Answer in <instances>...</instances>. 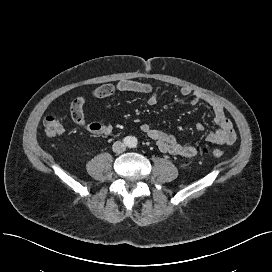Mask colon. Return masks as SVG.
I'll use <instances>...</instances> for the list:
<instances>
[{
  "instance_id": "colon-1",
  "label": "colon",
  "mask_w": 272,
  "mask_h": 272,
  "mask_svg": "<svg viewBox=\"0 0 272 272\" xmlns=\"http://www.w3.org/2000/svg\"><path fill=\"white\" fill-rule=\"evenodd\" d=\"M44 127L45 133L49 137H56L64 132V126L56 115L47 116L44 119ZM203 153L206 155H212L215 158H221L223 156V152L220 149L204 148Z\"/></svg>"
}]
</instances>
